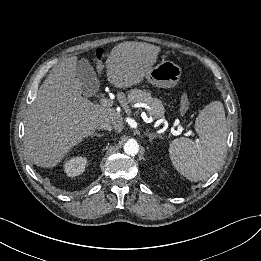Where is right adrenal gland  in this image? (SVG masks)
Segmentation results:
<instances>
[{
    "mask_svg": "<svg viewBox=\"0 0 261 261\" xmlns=\"http://www.w3.org/2000/svg\"><path fill=\"white\" fill-rule=\"evenodd\" d=\"M94 136H97V137H102V136H103V134L94 133V134L92 135V137H94Z\"/></svg>",
    "mask_w": 261,
    "mask_h": 261,
    "instance_id": "right-adrenal-gland-1",
    "label": "right adrenal gland"
}]
</instances>
